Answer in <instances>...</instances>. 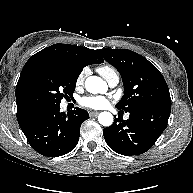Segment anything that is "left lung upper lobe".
Returning <instances> with one entry per match:
<instances>
[{"label": "left lung upper lobe", "mask_w": 193, "mask_h": 193, "mask_svg": "<svg viewBox=\"0 0 193 193\" xmlns=\"http://www.w3.org/2000/svg\"><path fill=\"white\" fill-rule=\"evenodd\" d=\"M98 53L120 73L124 95L116 108L134 112L161 103H171L163 75L145 57L122 49H101Z\"/></svg>", "instance_id": "left-lung-upper-lobe-1"}]
</instances>
